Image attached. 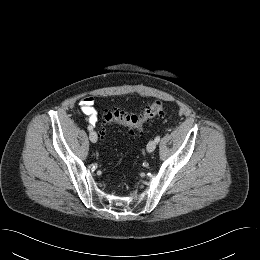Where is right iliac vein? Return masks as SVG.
Segmentation results:
<instances>
[{"instance_id":"1","label":"right iliac vein","mask_w":260,"mask_h":260,"mask_svg":"<svg viewBox=\"0 0 260 260\" xmlns=\"http://www.w3.org/2000/svg\"><path fill=\"white\" fill-rule=\"evenodd\" d=\"M89 138L91 142L96 143L97 142V133L95 131H91L89 134Z\"/></svg>"}]
</instances>
